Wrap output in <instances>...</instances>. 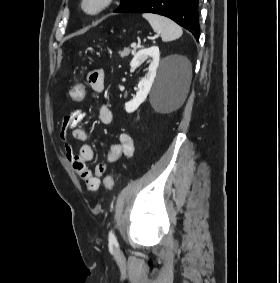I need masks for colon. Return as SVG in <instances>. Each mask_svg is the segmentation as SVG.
I'll return each instance as SVG.
<instances>
[{"label": "colon", "mask_w": 280, "mask_h": 283, "mask_svg": "<svg viewBox=\"0 0 280 283\" xmlns=\"http://www.w3.org/2000/svg\"><path fill=\"white\" fill-rule=\"evenodd\" d=\"M87 92H90V87H87L86 78L82 77L81 79H78L72 87H70V102H73L74 105H77L78 102H85V99H87ZM104 184L107 190H111L114 184L113 176L107 175L105 177Z\"/></svg>", "instance_id": "colon-1"}]
</instances>
